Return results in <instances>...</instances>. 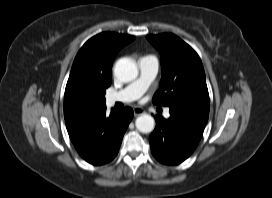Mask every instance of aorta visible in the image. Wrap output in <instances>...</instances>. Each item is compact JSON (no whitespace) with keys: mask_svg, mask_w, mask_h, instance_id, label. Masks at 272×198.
<instances>
[{"mask_svg":"<svg viewBox=\"0 0 272 198\" xmlns=\"http://www.w3.org/2000/svg\"><path fill=\"white\" fill-rule=\"evenodd\" d=\"M114 75L122 82H130L138 75V68L132 59L121 58L114 66ZM136 128L142 133H150L155 128V120L152 116L143 114L135 121Z\"/></svg>","mask_w":272,"mask_h":198,"instance_id":"aorta-1","label":"aorta"}]
</instances>
